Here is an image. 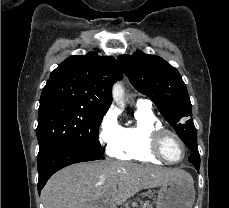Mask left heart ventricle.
I'll list each match as a JSON object with an SVG mask.
<instances>
[{
	"label": "left heart ventricle",
	"mask_w": 229,
	"mask_h": 208,
	"mask_svg": "<svg viewBox=\"0 0 229 208\" xmlns=\"http://www.w3.org/2000/svg\"><path fill=\"white\" fill-rule=\"evenodd\" d=\"M177 138L172 134H168L163 140L164 147L162 151L166 154V157H170L172 160L178 161L184 155V147H178V143H174L173 139Z\"/></svg>",
	"instance_id": "1"
}]
</instances>
